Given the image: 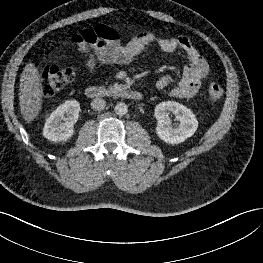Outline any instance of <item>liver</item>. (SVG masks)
Here are the masks:
<instances>
[{
    "instance_id": "liver-1",
    "label": "liver",
    "mask_w": 263,
    "mask_h": 263,
    "mask_svg": "<svg viewBox=\"0 0 263 263\" xmlns=\"http://www.w3.org/2000/svg\"><path fill=\"white\" fill-rule=\"evenodd\" d=\"M19 104L25 121L31 122L38 116L42 106L43 90L41 76L33 63H28L20 77Z\"/></svg>"
}]
</instances>
